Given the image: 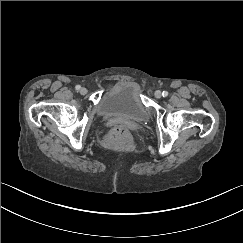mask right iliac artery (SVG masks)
<instances>
[{
	"label": "right iliac artery",
	"instance_id": "obj_1",
	"mask_svg": "<svg viewBox=\"0 0 243 243\" xmlns=\"http://www.w3.org/2000/svg\"><path fill=\"white\" fill-rule=\"evenodd\" d=\"M76 90H80L81 89V86L80 85H76Z\"/></svg>",
	"mask_w": 243,
	"mask_h": 243
}]
</instances>
